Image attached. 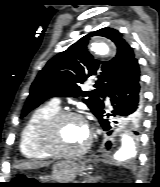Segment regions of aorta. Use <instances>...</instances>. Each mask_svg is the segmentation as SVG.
<instances>
[{"mask_svg": "<svg viewBox=\"0 0 160 187\" xmlns=\"http://www.w3.org/2000/svg\"><path fill=\"white\" fill-rule=\"evenodd\" d=\"M109 45L104 41H96L91 45V51L97 55H107ZM136 141L130 133H122L120 136V147L113 153L112 157L116 161L126 160L135 155Z\"/></svg>", "mask_w": 160, "mask_h": 187, "instance_id": "obj_1", "label": "aorta"}]
</instances>
